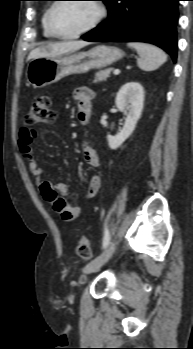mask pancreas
Returning <instances> with one entry per match:
<instances>
[{
    "label": "pancreas",
    "instance_id": "1",
    "mask_svg": "<svg viewBox=\"0 0 193 349\" xmlns=\"http://www.w3.org/2000/svg\"><path fill=\"white\" fill-rule=\"evenodd\" d=\"M111 71H112L111 68H108V69H105V70H102V71H98L95 74V78H94L93 82L94 83H98V82L106 81L107 78L109 77Z\"/></svg>",
    "mask_w": 193,
    "mask_h": 349
}]
</instances>
